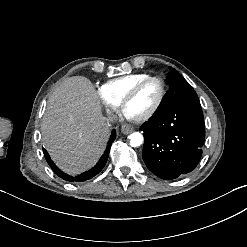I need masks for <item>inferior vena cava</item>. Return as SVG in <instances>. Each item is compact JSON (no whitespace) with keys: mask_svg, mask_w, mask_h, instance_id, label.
<instances>
[{"mask_svg":"<svg viewBox=\"0 0 247 247\" xmlns=\"http://www.w3.org/2000/svg\"><path fill=\"white\" fill-rule=\"evenodd\" d=\"M117 115H115V114H110V115H108V117L106 118V121L108 122V123H115V122H117Z\"/></svg>","mask_w":247,"mask_h":247,"instance_id":"1","label":"inferior vena cava"}]
</instances>
